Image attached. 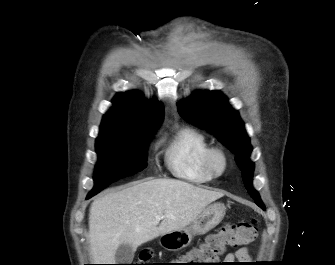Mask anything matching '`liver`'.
I'll return each mask as SVG.
<instances>
[{"label":"liver","instance_id":"liver-1","mask_svg":"<svg viewBox=\"0 0 335 265\" xmlns=\"http://www.w3.org/2000/svg\"><path fill=\"white\" fill-rule=\"evenodd\" d=\"M222 192L175 179H153L96 198L89 210L90 255L95 264H112L121 244L138 246L180 230ZM163 218L156 222V216ZM103 262V263H100ZM107 262V263H105Z\"/></svg>","mask_w":335,"mask_h":265}]
</instances>
